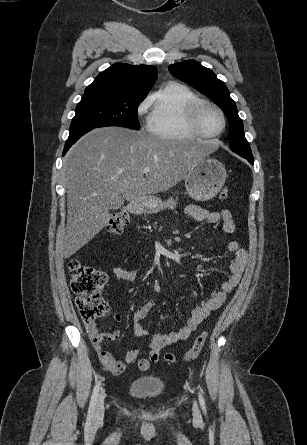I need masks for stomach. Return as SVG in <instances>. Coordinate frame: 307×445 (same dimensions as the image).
I'll return each mask as SVG.
<instances>
[{"label": "stomach", "mask_w": 307, "mask_h": 445, "mask_svg": "<svg viewBox=\"0 0 307 445\" xmlns=\"http://www.w3.org/2000/svg\"><path fill=\"white\" fill-rule=\"evenodd\" d=\"M226 180V168L216 158H201L188 170L185 178V188L194 200H210L220 192ZM173 196L162 200L160 196H148L143 202L147 212H159L164 208H176Z\"/></svg>", "instance_id": "obj_1"}]
</instances>
